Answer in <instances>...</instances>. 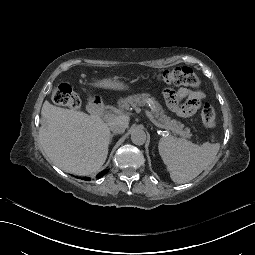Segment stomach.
<instances>
[{
    "label": "stomach",
    "instance_id": "0dacf381",
    "mask_svg": "<svg viewBox=\"0 0 255 255\" xmlns=\"http://www.w3.org/2000/svg\"><path fill=\"white\" fill-rule=\"evenodd\" d=\"M121 86H122V85H121L120 81L117 80V79H112V80H110L109 83H108V88H109V90L112 91V92H117V91H119L120 88H121Z\"/></svg>",
    "mask_w": 255,
    "mask_h": 255
}]
</instances>
